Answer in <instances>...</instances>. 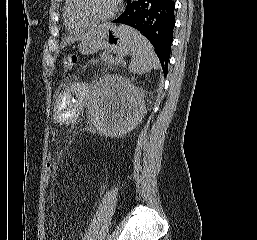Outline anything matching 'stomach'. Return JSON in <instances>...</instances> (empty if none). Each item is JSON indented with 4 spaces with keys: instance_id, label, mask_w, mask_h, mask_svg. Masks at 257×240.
<instances>
[{
    "instance_id": "0dacf381",
    "label": "stomach",
    "mask_w": 257,
    "mask_h": 240,
    "mask_svg": "<svg viewBox=\"0 0 257 240\" xmlns=\"http://www.w3.org/2000/svg\"><path fill=\"white\" fill-rule=\"evenodd\" d=\"M100 49H106L109 52L125 56L129 53L128 35L120 27L106 23L93 34L87 36L78 46L82 55H93Z\"/></svg>"
}]
</instances>
